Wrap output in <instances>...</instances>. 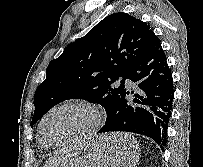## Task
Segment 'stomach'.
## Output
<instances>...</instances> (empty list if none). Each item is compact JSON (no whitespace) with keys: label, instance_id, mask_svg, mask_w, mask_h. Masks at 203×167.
<instances>
[{"label":"stomach","instance_id":"stomach-1","mask_svg":"<svg viewBox=\"0 0 203 167\" xmlns=\"http://www.w3.org/2000/svg\"><path fill=\"white\" fill-rule=\"evenodd\" d=\"M99 139H97L96 142L99 141ZM129 151L130 154H133L132 150ZM110 165H112V163L106 148L99 146L94 147L88 154L74 160L69 167H109Z\"/></svg>","mask_w":203,"mask_h":167}]
</instances>
